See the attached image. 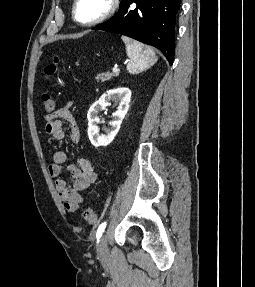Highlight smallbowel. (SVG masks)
I'll use <instances>...</instances> for the list:
<instances>
[{
	"instance_id": "small-bowel-1",
	"label": "small bowel",
	"mask_w": 255,
	"mask_h": 287,
	"mask_svg": "<svg viewBox=\"0 0 255 287\" xmlns=\"http://www.w3.org/2000/svg\"><path fill=\"white\" fill-rule=\"evenodd\" d=\"M73 102L55 112L45 116V131L54 140H62L65 136L63 120L71 126V139L74 143L79 142L80 133L75 118L71 112ZM67 154L65 151H56L53 154V163L49 165V175L55 179L54 187L68 212H76L83 202L82 193L97 180L93 166L88 159L79 158L75 163L66 164ZM66 172V176L63 173Z\"/></svg>"
}]
</instances>
